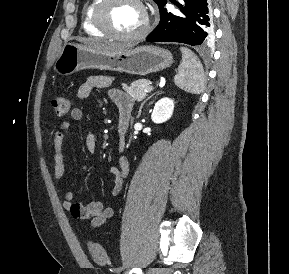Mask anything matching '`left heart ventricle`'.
I'll use <instances>...</instances> for the list:
<instances>
[{
	"label": "left heart ventricle",
	"mask_w": 289,
	"mask_h": 274,
	"mask_svg": "<svg viewBox=\"0 0 289 274\" xmlns=\"http://www.w3.org/2000/svg\"><path fill=\"white\" fill-rule=\"evenodd\" d=\"M107 22L116 32L133 34L138 32L145 23V13L136 3L119 1L111 5L107 13Z\"/></svg>",
	"instance_id": "obj_1"
}]
</instances>
